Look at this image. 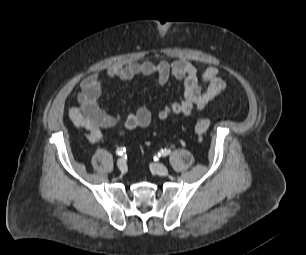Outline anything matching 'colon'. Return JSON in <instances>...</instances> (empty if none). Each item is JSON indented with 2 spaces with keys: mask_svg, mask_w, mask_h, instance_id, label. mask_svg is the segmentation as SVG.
<instances>
[{
  "mask_svg": "<svg viewBox=\"0 0 306 255\" xmlns=\"http://www.w3.org/2000/svg\"><path fill=\"white\" fill-rule=\"evenodd\" d=\"M210 128L207 118H198L194 124V133L198 138H203Z\"/></svg>",
  "mask_w": 306,
  "mask_h": 255,
  "instance_id": "colon-1",
  "label": "colon"
}]
</instances>
